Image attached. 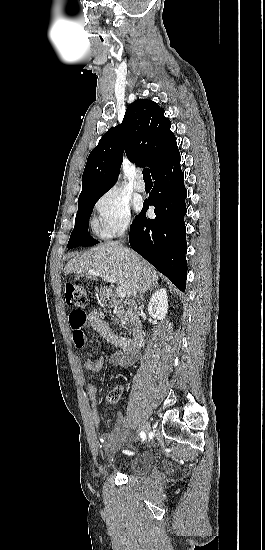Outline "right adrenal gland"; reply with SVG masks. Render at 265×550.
<instances>
[{
  "label": "right adrenal gland",
  "instance_id": "obj_1",
  "mask_svg": "<svg viewBox=\"0 0 265 550\" xmlns=\"http://www.w3.org/2000/svg\"><path fill=\"white\" fill-rule=\"evenodd\" d=\"M158 283L156 282L153 287L149 288L147 291H151L153 288H158ZM144 293L140 296L141 299H143Z\"/></svg>",
  "mask_w": 265,
  "mask_h": 550
}]
</instances>
